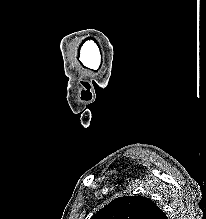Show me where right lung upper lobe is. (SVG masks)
<instances>
[{
    "label": "right lung upper lobe",
    "instance_id": "right-lung-upper-lobe-1",
    "mask_svg": "<svg viewBox=\"0 0 206 219\" xmlns=\"http://www.w3.org/2000/svg\"><path fill=\"white\" fill-rule=\"evenodd\" d=\"M91 219H168V217L146 197L123 196L100 209Z\"/></svg>",
    "mask_w": 206,
    "mask_h": 219
}]
</instances>
